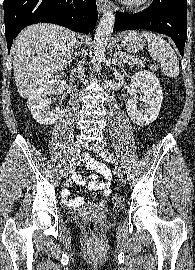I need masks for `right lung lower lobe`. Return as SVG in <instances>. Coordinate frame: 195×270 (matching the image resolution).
I'll return each instance as SVG.
<instances>
[{
    "label": "right lung lower lobe",
    "instance_id": "right-lung-lower-lobe-1",
    "mask_svg": "<svg viewBox=\"0 0 195 270\" xmlns=\"http://www.w3.org/2000/svg\"><path fill=\"white\" fill-rule=\"evenodd\" d=\"M3 7L8 53L15 37L28 25L54 23L88 34L98 18L96 0H4Z\"/></svg>",
    "mask_w": 195,
    "mask_h": 270
}]
</instances>
